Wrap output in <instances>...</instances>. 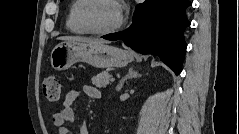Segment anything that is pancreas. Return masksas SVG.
<instances>
[{"mask_svg": "<svg viewBox=\"0 0 239 134\" xmlns=\"http://www.w3.org/2000/svg\"><path fill=\"white\" fill-rule=\"evenodd\" d=\"M111 75L108 72H102L96 76H93L91 81L92 84L98 88H105L110 84Z\"/></svg>", "mask_w": 239, "mask_h": 134, "instance_id": "1", "label": "pancreas"}]
</instances>
